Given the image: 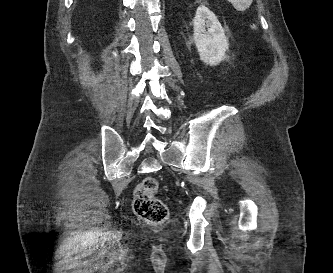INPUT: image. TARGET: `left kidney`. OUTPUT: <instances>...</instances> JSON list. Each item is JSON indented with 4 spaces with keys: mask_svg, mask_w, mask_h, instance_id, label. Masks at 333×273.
<instances>
[{
    "mask_svg": "<svg viewBox=\"0 0 333 273\" xmlns=\"http://www.w3.org/2000/svg\"><path fill=\"white\" fill-rule=\"evenodd\" d=\"M193 39L200 59L210 65H218L226 58L229 48L225 32L215 14L205 5H200L193 19Z\"/></svg>",
    "mask_w": 333,
    "mask_h": 273,
    "instance_id": "obj_1",
    "label": "left kidney"
}]
</instances>
